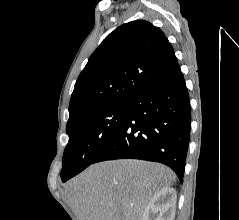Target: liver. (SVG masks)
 Returning <instances> with one entry per match:
<instances>
[{"instance_id":"obj_1","label":"liver","mask_w":239,"mask_h":220,"mask_svg":"<svg viewBox=\"0 0 239 220\" xmlns=\"http://www.w3.org/2000/svg\"><path fill=\"white\" fill-rule=\"evenodd\" d=\"M175 181L164 165L120 159L91 165L65 189L78 220H143L153 195Z\"/></svg>"}]
</instances>
